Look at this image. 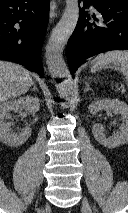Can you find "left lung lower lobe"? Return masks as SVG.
I'll use <instances>...</instances> for the list:
<instances>
[{"label": "left lung lower lobe", "mask_w": 128, "mask_h": 213, "mask_svg": "<svg viewBox=\"0 0 128 213\" xmlns=\"http://www.w3.org/2000/svg\"><path fill=\"white\" fill-rule=\"evenodd\" d=\"M67 44V58L71 74L80 64L96 54L128 49V0H86ZM92 5L98 12L90 16L84 11ZM94 22H90V18Z\"/></svg>", "instance_id": "obj_1"}]
</instances>
